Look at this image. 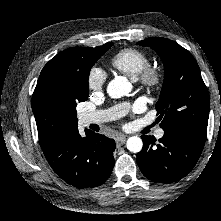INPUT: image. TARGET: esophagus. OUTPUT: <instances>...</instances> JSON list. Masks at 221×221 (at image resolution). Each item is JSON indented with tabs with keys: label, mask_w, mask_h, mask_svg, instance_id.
I'll use <instances>...</instances> for the list:
<instances>
[{
	"label": "esophagus",
	"mask_w": 221,
	"mask_h": 221,
	"mask_svg": "<svg viewBox=\"0 0 221 221\" xmlns=\"http://www.w3.org/2000/svg\"><path fill=\"white\" fill-rule=\"evenodd\" d=\"M125 142H126V136H124V135H119V136H117V138H116V145H117V146H121V145H123Z\"/></svg>",
	"instance_id": "esophagus-1"
}]
</instances>
